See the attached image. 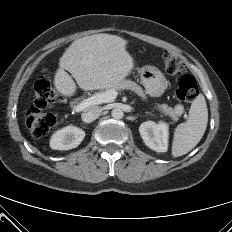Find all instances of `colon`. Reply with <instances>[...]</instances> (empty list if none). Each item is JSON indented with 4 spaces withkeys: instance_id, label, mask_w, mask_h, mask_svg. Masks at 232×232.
Instances as JSON below:
<instances>
[{
    "instance_id": "colon-1",
    "label": "colon",
    "mask_w": 232,
    "mask_h": 232,
    "mask_svg": "<svg viewBox=\"0 0 232 232\" xmlns=\"http://www.w3.org/2000/svg\"><path fill=\"white\" fill-rule=\"evenodd\" d=\"M164 70L171 76L180 75L176 95L179 100L192 102L199 95V88L195 78L185 73V64L182 59L168 51L161 55ZM57 101V95L49 80L40 76L34 84V102L28 111L26 125L35 138H43L55 125V117L44 110Z\"/></svg>"
}]
</instances>
